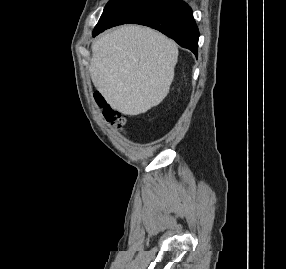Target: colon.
<instances>
[{
	"label": "colon",
	"mask_w": 286,
	"mask_h": 269,
	"mask_svg": "<svg viewBox=\"0 0 286 269\" xmlns=\"http://www.w3.org/2000/svg\"><path fill=\"white\" fill-rule=\"evenodd\" d=\"M96 100L98 104L102 107L103 115L107 122L119 129L123 128L125 125V118L120 114V112L106 104L102 97L98 96L96 97Z\"/></svg>",
	"instance_id": "5ec220e1"
}]
</instances>
